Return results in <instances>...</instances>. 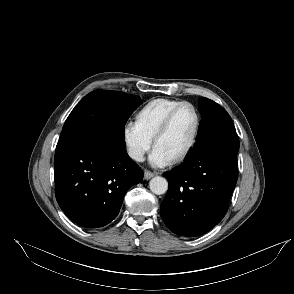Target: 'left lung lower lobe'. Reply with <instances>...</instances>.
Returning a JSON list of instances; mask_svg holds the SVG:
<instances>
[{
	"mask_svg": "<svg viewBox=\"0 0 294 294\" xmlns=\"http://www.w3.org/2000/svg\"><path fill=\"white\" fill-rule=\"evenodd\" d=\"M236 131H223L196 141L184 162L165 173L169 188L161 218L181 236H198L225 216L238 177Z\"/></svg>",
	"mask_w": 294,
	"mask_h": 294,
	"instance_id": "left-lung-lower-lobe-1",
	"label": "left lung lower lobe"
}]
</instances>
